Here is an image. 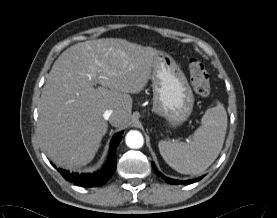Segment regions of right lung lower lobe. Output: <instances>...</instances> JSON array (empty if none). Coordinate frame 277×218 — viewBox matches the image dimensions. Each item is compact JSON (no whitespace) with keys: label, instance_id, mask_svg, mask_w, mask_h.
Here are the masks:
<instances>
[{"label":"right lung lower lobe","instance_id":"1","mask_svg":"<svg viewBox=\"0 0 277 218\" xmlns=\"http://www.w3.org/2000/svg\"><path fill=\"white\" fill-rule=\"evenodd\" d=\"M122 132L117 133L111 141L108 161L101 171L88 174L69 173L63 169H57L61 175L75 185L84 187H98L105 184L114 174L116 169V149L121 140Z\"/></svg>","mask_w":277,"mask_h":218}]
</instances>
